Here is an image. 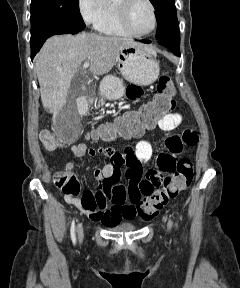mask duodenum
<instances>
[{
    "instance_id": "1",
    "label": "duodenum",
    "mask_w": 240,
    "mask_h": 288,
    "mask_svg": "<svg viewBox=\"0 0 240 288\" xmlns=\"http://www.w3.org/2000/svg\"><path fill=\"white\" fill-rule=\"evenodd\" d=\"M89 99L88 98H80L78 101V110L81 114H86L89 111Z\"/></svg>"
}]
</instances>
